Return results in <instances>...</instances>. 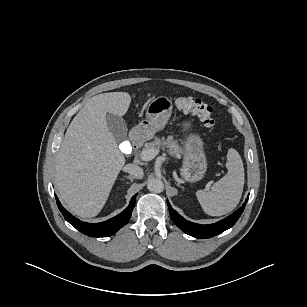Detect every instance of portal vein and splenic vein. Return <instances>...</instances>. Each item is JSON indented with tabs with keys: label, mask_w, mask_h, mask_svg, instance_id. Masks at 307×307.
<instances>
[{
	"label": "portal vein and splenic vein",
	"mask_w": 307,
	"mask_h": 307,
	"mask_svg": "<svg viewBox=\"0 0 307 307\" xmlns=\"http://www.w3.org/2000/svg\"><path fill=\"white\" fill-rule=\"evenodd\" d=\"M157 154H158V150L146 149L141 152V159L143 161H150L154 159Z\"/></svg>",
	"instance_id": "1"
}]
</instances>
